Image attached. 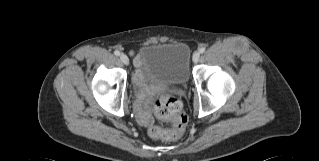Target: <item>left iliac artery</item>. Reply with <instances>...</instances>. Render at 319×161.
I'll return each mask as SVG.
<instances>
[{
  "instance_id": "obj_1",
  "label": "left iliac artery",
  "mask_w": 319,
  "mask_h": 161,
  "mask_svg": "<svg viewBox=\"0 0 319 161\" xmlns=\"http://www.w3.org/2000/svg\"><path fill=\"white\" fill-rule=\"evenodd\" d=\"M199 52H200V53H204V52H205V48H200V49H199Z\"/></svg>"
}]
</instances>
